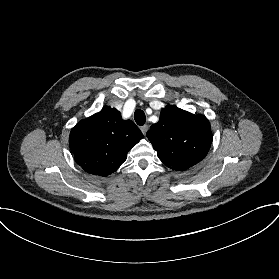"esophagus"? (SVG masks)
I'll use <instances>...</instances> for the list:
<instances>
[{"instance_id":"obj_1","label":"esophagus","mask_w":279,"mask_h":279,"mask_svg":"<svg viewBox=\"0 0 279 279\" xmlns=\"http://www.w3.org/2000/svg\"><path fill=\"white\" fill-rule=\"evenodd\" d=\"M140 130L142 131L143 135H146V132L148 130V125H143L140 127Z\"/></svg>"}]
</instances>
